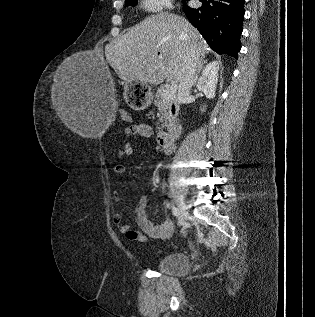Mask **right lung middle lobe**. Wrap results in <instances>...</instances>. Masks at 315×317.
<instances>
[{
  "label": "right lung middle lobe",
  "instance_id": "dd1d6c3e",
  "mask_svg": "<svg viewBox=\"0 0 315 317\" xmlns=\"http://www.w3.org/2000/svg\"><path fill=\"white\" fill-rule=\"evenodd\" d=\"M126 6H136L137 0H125Z\"/></svg>",
  "mask_w": 315,
  "mask_h": 317
}]
</instances>
